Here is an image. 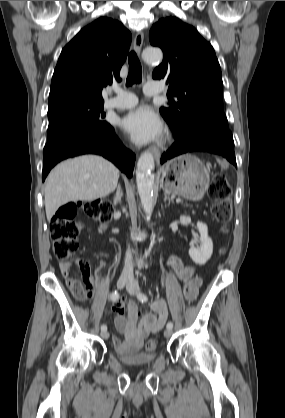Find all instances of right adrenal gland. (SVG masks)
<instances>
[{
	"instance_id": "right-adrenal-gland-1",
	"label": "right adrenal gland",
	"mask_w": 285,
	"mask_h": 418,
	"mask_svg": "<svg viewBox=\"0 0 285 418\" xmlns=\"http://www.w3.org/2000/svg\"><path fill=\"white\" fill-rule=\"evenodd\" d=\"M122 196H123V192H122V188L121 185L118 184L116 187V194L113 198V203L114 205L120 204L122 201Z\"/></svg>"
}]
</instances>
